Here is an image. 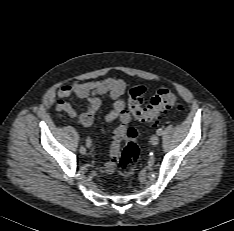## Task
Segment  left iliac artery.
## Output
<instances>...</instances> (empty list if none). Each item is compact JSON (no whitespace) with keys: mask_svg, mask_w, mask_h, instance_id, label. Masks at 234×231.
<instances>
[{"mask_svg":"<svg viewBox=\"0 0 234 231\" xmlns=\"http://www.w3.org/2000/svg\"><path fill=\"white\" fill-rule=\"evenodd\" d=\"M156 133H157V135H162V129H158L157 131H156Z\"/></svg>","mask_w":234,"mask_h":231,"instance_id":"obj_1","label":"left iliac artery"}]
</instances>
